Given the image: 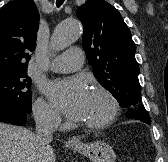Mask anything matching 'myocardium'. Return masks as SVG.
Segmentation results:
<instances>
[{
	"label": "myocardium",
	"instance_id": "obj_1",
	"mask_svg": "<svg viewBox=\"0 0 168 162\" xmlns=\"http://www.w3.org/2000/svg\"><path fill=\"white\" fill-rule=\"evenodd\" d=\"M92 93L103 96L108 102V112L99 121L96 122H82L81 125L89 130L97 131L108 127L113 123L119 111V103L112 92L104 87H96Z\"/></svg>",
	"mask_w": 168,
	"mask_h": 162
}]
</instances>
